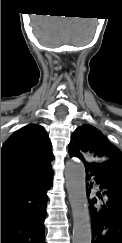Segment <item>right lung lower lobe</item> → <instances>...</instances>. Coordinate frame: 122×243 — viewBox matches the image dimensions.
<instances>
[{
    "instance_id": "98d812e1",
    "label": "right lung lower lobe",
    "mask_w": 122,
    "mask_h": 243,
    "mask_svg": "<svg viewBox=\"0 0 122 243\" xmlns=\"http://www.w3.org/2000/svg\"><path fill=\"white\" fill-rule=\"evenodd\" d=\"M53 172L1 192V243H45L47 191Z\"/></svg>"
}]
</instances>
